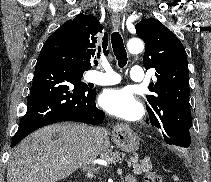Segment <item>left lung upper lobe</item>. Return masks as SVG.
Segmentation results:
<instances>
[{
    "mask_svg": "<svg viewBox=\"0 0 211 182\" xmlns=\"http://www.w3.org/2000/svg\"><path fill=\"white\" fill-rule=\"evenodd\" d=\"M136 33L145 42V68L156 70L157 81L149 85L154 95L146 96L150 122L161 130L166 143L192 149L189 71L184 46L153 18L142 19L136 25Z\"/></svg>",
    "mask_w": 211,
    "mask_h": 182,
    "instance_id": "5c2ea615",
    "label": "left lung upper lobe"
}]
</instances>
